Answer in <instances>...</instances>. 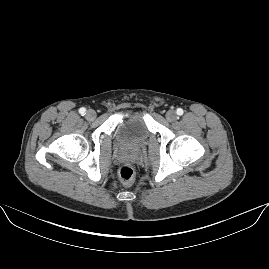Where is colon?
Masks as SVG:
<instances>
[{
  "label": "colon",
  "instance_id": "1",
  "mask_svg": "<svg viewBox=\"0 0 269 269\" xmlns=\"http://www.w3.org/2000/svg\"><path fill=\"white\" fill-rule=\"evenodd\" d=\"M136 175L135 168L130 163H125L119 169V179L124 184H132Z\"/></svg>",
  "mask_w": 269,
  "mask_h": 269
}]
</instances>
